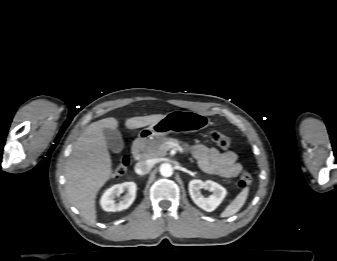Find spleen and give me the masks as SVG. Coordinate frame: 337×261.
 <instances>
[{
    "instance_id": "obj_1",
    "label": "spleen",
    "mask_w": 337,
    "mask_h": 261,
    "mask_svg": "<svg viewBox=\"0 0 337 261\" xmlns=\"http://www.w3.org/2000/svg\"><path fill=\"white\" fill-rule=\"evenodd\" d=\"M249 194V188H244L236 197L235 199L226 207V209L221 213V217H229L237 213L244 203Z\"/></svg>"
}]
</instances>
